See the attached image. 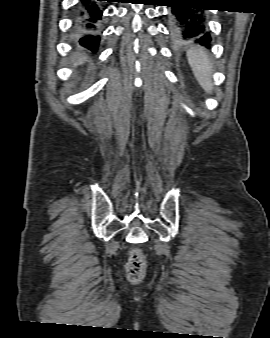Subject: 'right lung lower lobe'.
I'll use <instances>...</instances> for the list:
<instances>
[{
	"mask_svg": "<svg viewBox=\"0 0 270 338\" xmlns=\"http://www.w3.org/2000/svg\"><path fill=\"white\" fill-rule=\"evenodd\" d=\"M110 0H80L75 12V30L81 36L79 43L96 52L99 44L97 35L102 18L100 2Z\"/></svg>",
	"mask_w": 270,
	"mask_h": 338,
	"instance_id": "1",
	"label": "right lung lower lobe"
}]
</instances>
